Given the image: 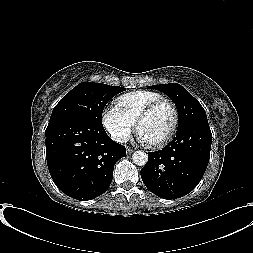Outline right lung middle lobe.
Here are the masks:
<instances>
[{"instance_id":"dd1d6c3e","label":"right lung middle lobe","mask_w":253,"mask_h":253,"mask_svg":"<svg viewBox=\"0 0 253 253\" xmlns=\"http://www.w3.org/2000/svg\"><path fill=\"white\" fill-rule=\"evenodd\" d=\"M125 90L102 83H80L54 107L50 121L63 117H80L102 125L101 117L105 105L112 97Z\"/></svg>"}]
</instances>
